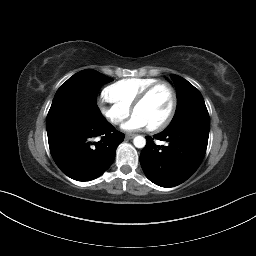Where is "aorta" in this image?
Segmentation results:
<instances>
[{"mask_svg":"<svg viewBox=\"0 0 256 256\" xmlns=\"http://www.w3.org/2000/svg\"><path fill=\"white\" fill-rule=\"evenodd\" d=\"M133 144L136 148H143L146 145V139L143 136H136L133 139Z\"/></svg>","mask_w":256,"mask_h":256,"instance_id":"762f6f07","label":"aorta"}]
</instances>
